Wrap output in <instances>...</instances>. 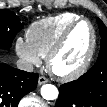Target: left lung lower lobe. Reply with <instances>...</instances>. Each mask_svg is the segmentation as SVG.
Instances as JSON below:
<instances>
[{
    "label": "left lung lower lobe",
    "mask_w": 107,
    "mask_h": 107,
    "mask_svg": "<svg viewBox=\"0 0 107 107\" xmlns=\"http://www.w3.org/2000/svg\"><path fill=\"white\" fill-rule=\"evenodd\" d=\"M55 107H107V63L103 52L86 74L60 86Z\"/></svg>",
    "instance_id": "1"
}]
</instances>
